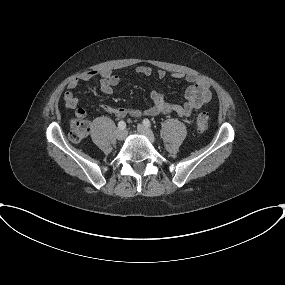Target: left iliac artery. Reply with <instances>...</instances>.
Returning <instances> with one entry per match:
<instances>
[{"label": "left iliac artery", "instance_id": "44dca946", "mask_svg": "<svg viewBox=\"0 0 285 285\" xmlns=\"http://www.w3.org/2000/svg\"><path fill=\"white\" fill-rule=\"evenodd\" d=\"M143 124H144V126H146V127H151V123H150V121H149L148 119H144V120H143Z\"/></svg>", "mask_w": 285, "mask_h": 285}]
</instances>
